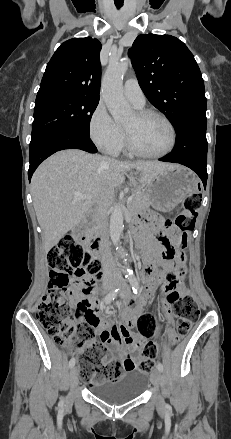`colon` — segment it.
<instances>
[{
    "instance_id": "1",
    "label": "colon",
    "mask_w": 231,
    "mask_h": 439,
    "mask_svg": "<svg viewBox=\"0 0 231 439\" xmlns=\"http://www.w3.org/2000/svg\"><path fill=\"white\" fill-rule=\"evenodd\" d=\"M201 204V195L193 193L183 202L182 211L175 217L173 223L169 219L158 216L153 221L159 223L163 230L175 225L179 229L176 239L185 243L188 233L194 229L195 218ZM160 241L168 240L164 234H159ZM173 258V254L171 255ZM50 267V284L48 292L43 296L37 306V318L40 325L46 330L53 342L62 346L71 338L73 348L85 347L86 350L78 353L77 361L80 366V378L84 382L96 384L101 379L110 381L120 380L125 370V364L119 361H110L106 348L96 339L90 329L79 333L75 331V319L72 305V295L77 290L91 292L96 281L101 276V263L94 258L88 250L78 244L72 235H66L54 245L48 253ZM179 274L168 273L167 282L175 281ZM167 303L171 306L166 311L167 330L173 341L187 334L192 325L197 321L199 307L193 295L186 290L179 292L171 290L166 296ZM84 303L77 305V311L85 309ZM156 318L152 314L142 315L137 323L141 336H153ZM158 349L154 342L144 344L143 354L145 359L137 365L140 369L150 372L154 366V358ZM107 360L106 363L104 361ZM127 369H133L134 363H126Z\"/></svg>"
}]
</instances>
